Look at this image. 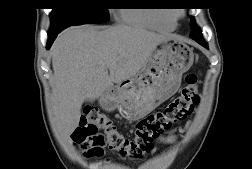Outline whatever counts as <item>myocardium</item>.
Segmentation results:
<instances>
[{
	"instance_id": "myocardium-1",
	"label": "myocardium",
	"mask_w": 252,
	"mask_h": 169,
	"mask_svg": "<svg viewBox=\"0 0 252 169\" xmlns=\"http://www.w3.org/2000/svg\"><path fill=\"white\" fill-rule=\"evenodd\" d=\"M183 13L184 12H180V13H177L176 15H174L173 17L175 18V17H180V16H182L183 15Z\"/></svg>"
}]
</instances>
